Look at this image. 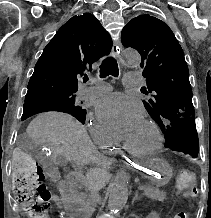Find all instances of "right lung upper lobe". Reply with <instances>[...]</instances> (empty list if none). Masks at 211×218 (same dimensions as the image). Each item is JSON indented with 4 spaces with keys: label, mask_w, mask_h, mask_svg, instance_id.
Here are the masks:
<instances>
[{
    "label": "right lung upper lobe",
    "mask_w": 211,
    "mask_h": 218,
    "mask_svg": "<svg viewBox=\"0 0 211 218\" xmlns=\"http://www.w3.org/2000/svg\"><path fill=\"white\" fill-rule=\"evenodd\" d=\"M112 48L109 33L90 13L67 21L44 48L28 84L25 102L42 97L75 92L77 75Z\"/></svg>",
    "instance_id": "1"
}]
</instances>
